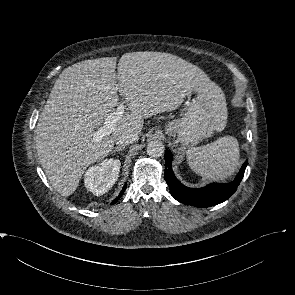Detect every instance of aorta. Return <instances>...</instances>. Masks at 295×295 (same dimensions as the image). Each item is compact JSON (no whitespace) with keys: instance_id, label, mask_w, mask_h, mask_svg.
Segmentation results:
<instances>
[{"instance_id":"obj_1","label":"aorta","mask_w":295,"mask_h":295,"mask_svg":"<svg viewBox=\"0 0 295 295\" xmlns=\"http://www.w3.org/2000/svg\"><path fill=\"white\" fill-rule=\"evenodd\" d=\"M165 147L162 142L158 140H152L147 145V154L151 157H160L163 155Z\"/></svg>"}]
</instances>
